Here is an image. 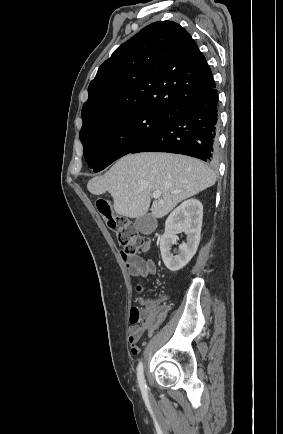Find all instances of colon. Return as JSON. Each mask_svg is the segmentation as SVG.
<instances>
[{
    "instance_id": "1",
    "label": "colon",
    "mask_w": 283,
    "mask_h": 434,
    "mask_svg": "<svg viewBox=\"0 0 283 434\" xmlns=\"http://www.w3.org/2000/svg\"><path fill=\"white\" fill-rule=\"evenodd\" d=\"M96 207L108 227L116 233L124 254L136 255L147 250L148 240L138 233L127 218L115 214L108 201L98 200ZM160 316L161 310L152 305L145 308L133 307L130 311V323L137 325L142 322L147 329H154Z\"/></svg>"
}]
</instances>
